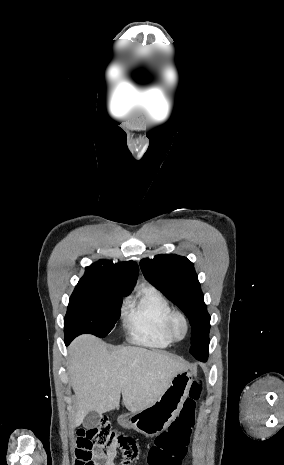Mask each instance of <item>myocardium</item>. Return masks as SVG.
<instances>
[{
  "label": "myocardium",
  "instance_id": "myocardium-1",
  "mask_svg": "<svg viewBox=\"0 0 284 465\" xmlns=\"http://www.w3.org/2000/svg\"><path fill=\"white\" fill-rule=\"evenodd\" d=\"M178 319L182 321L184 328H185V335L182 338L177 337L174 333V324ZM189 329H190L189 321H188L187 316L184 313L180 311H174L168 317L167 323H166V332L172 341L180 342L186 339V337L189 334Z\"/></svg>",
  "mask_w": 284,
  "mask_h": 465
}]
</instances>
